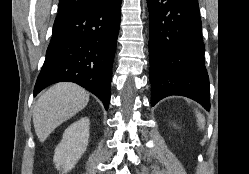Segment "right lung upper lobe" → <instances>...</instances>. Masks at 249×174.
Masks as SVG:
<instances>
[{
	"label": "right lung upper lobe",
	"mask_w": 249,
	"mask_h": 174,
	"mask_svg": "<svg viewBox=\"0 0 249 174\" xmlns=\"http://www.w3.org/2000/svg\"><path fill=\"white\" fill-rule=\"evenodd\" d=\"M115 0H60L56 20L63 19L82 10L112 3Z\"/></svg>",
	"instance_id": "cb5924a9"
}]
</instances>
